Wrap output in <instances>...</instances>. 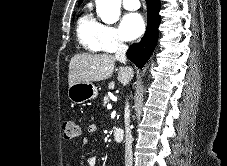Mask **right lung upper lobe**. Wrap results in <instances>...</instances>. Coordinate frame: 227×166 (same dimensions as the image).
<instances>
[{"label": "right lung upper lobe", "instance_id": "obj_1", "mask_svg": "<svg viewBox=\"0 0 227 166\" xmlns=\"http://www.w3.org/2000/svg\"><path fill=\"white\" fill-rule=\"evenodd\" d=\"M82 1H83V0H79V4H81V3H82Z\"/></svg>", "mask_w": 227, "mask_h": 166}]
</instances>
